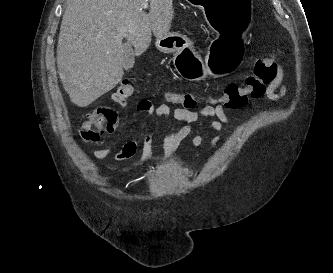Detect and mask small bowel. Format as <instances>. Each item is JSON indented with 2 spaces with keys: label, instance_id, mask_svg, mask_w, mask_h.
<instances>
[{
  "label": "small bowel",
  "instance_id": "c3829d8e",
  "mask_svg": "<svg viewBox=\"0 0 333 273\" xmlns=\"http://www.w3.org/2000/svg\"><path fill=\"white\" fill-rule=\"evenodd\" d=\"M224 94V93H223ZM287 94V86L285 83L284 68L281 64H276L275 74L271 82L267 85L264 97L270 101L278 102L282 100ZM113 101L118 105L125 107L127 105V98L120 96L117 92L113 94ZM246 105H244L245 107ZM226 110L239 112L242 109H183L172 108L168 104H160L152 107V101H141L139 103L138 113L148 114L149 118L145 125V132L142 139L141 153L139 158V165H144L149 160L153 150V120L157 117L168 116L175 121L185 122V124L175 130L168 131L164 143L163 152L165 158L169 159L173 157L181 144V142L188 137L196 123L202 118H211L209 127L213 129L217 135L212 140V149L216 151L219 143L223 138L225 127L231 126V120L226 114ZM203 142L201 134H195L191 141V147L196 150ZM138 140L132 138L128 140L120 150L114 153V159L116 161H125L133 158L137 152ZM112 147H104L96 149L93 152V157L96 160H103L113 154ZM105 169L109 172L115 173L120 170L119 167L106 164Z\"/></svg>",
  "mask_w": 333,
  "mask_h": 273
}]
</instances>
